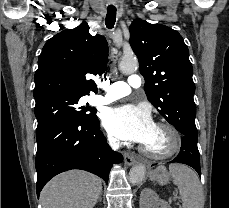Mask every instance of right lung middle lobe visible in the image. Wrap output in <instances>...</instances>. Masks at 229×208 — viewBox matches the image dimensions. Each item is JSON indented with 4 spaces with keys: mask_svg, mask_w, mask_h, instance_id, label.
<instances>
[{
    "mask_svg": "<svg viewBox=\"0 0 229 208\" xmlns=\"http://www.w3.org/2000/svg\"><path fill=\"white\" fill-rule=\"evenodd\" d=\"M81 97L82 96L53 95L36 101L34 108L38 121L36 134L63 118L71 117L87 122L98 120L96 109L78 106Z\"/></svg>",
    "mask_w": 229,
    "mask_h": 208,
    "instance_id": "obj_1",
    "label": "right lung middle lobe"
}]
</instances>
